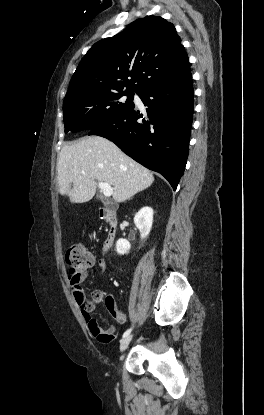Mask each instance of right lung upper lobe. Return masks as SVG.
<instances>
[{
	"instance_id": "obj_1",
	"label": "right lung upper lobe",
	"mask_w": 264,
	"mask_h": 415,
	"mask_svg": "<svg viewBox=\"0 0 264 415\" xmlns=\"http://www.w3.org/2000/svg\"><path fill=\"white\" fill-rule=\"evenodd\" d=\"M190 71L174 25L160 16H147L93 45L74 72L65 99L123 90L140 94Z\"/></svg>"
}]
</instances>
